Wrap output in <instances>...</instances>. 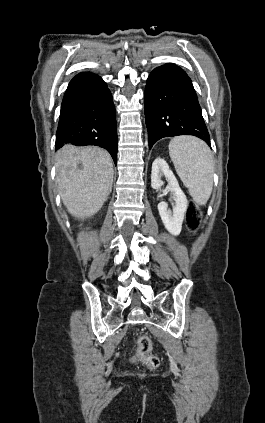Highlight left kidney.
I'll return each instance as SVG.
<instances>
[{
  "instance_id": "left-kidney-1",
  "label": "left kidney",
  "mask_w": 265,
  "mask_h": 423,
  "mask_svg": "<svg viewBox=\"0 0 265 423\" xmlns=\"http://www.w3.org/2000/svg\"><path fill=\"white\" fill-rule=\"evenodd\" d=\"M164 175L168 181L167 190L171 193L175 201L173 211L168 210L166 202L158 204V211L165 228L172 235H179L182 229V222L187 211L188 200L180 188L176 177L170 170L169 165L163 158H156L152 164L151 186L159 189L163 186L161 176Z\"/></svg>"
}]
</instances>
